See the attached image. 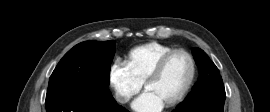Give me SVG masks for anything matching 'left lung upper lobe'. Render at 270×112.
<instances>
[{"label": "left lung upper lobe", "mask_w": 270, "mask_h": 112, "mask_svg": "<svg viewBox=\"0 0 270 112\" xmlns=\"http://www.w3.org/2000/svg\"><path fill=\"white\" fill-rule=\"evenodd\" d=\"M192 52L199 68V78L184 102L197 100L212 88H224L219 70L207 54L199 48H193Z\"/></svg>", "instance_id": "left-lung-upper-lobe-1"}]
</instances>
